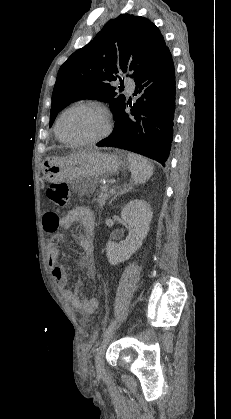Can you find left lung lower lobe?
Returning <instances> with one entry per match:
<instances>
[{
  "label": "left lung lower lobe",
  "instance_id": "0a47b994",
  "mask_svg": "<svg viewBox=\"0 0 231 419\" xmlns=\"http://www.w3.org/2000/svg\"><path fill=\"white\" fill-rule=\"evenodd\" d=\"M134 81L137 102L130 105L129 114L125 112L126 102L118 109L113 132L97 146L130 150L165 166L173 139L175 111V70L170 51Z\"/></svg>",
  "mask_w": 231,
  "mask_h": 419
}]
</instances>
